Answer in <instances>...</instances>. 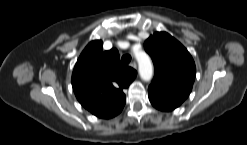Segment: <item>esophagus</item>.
Listing matches in <instances>:
<instances>
[{
	"label": "esophagus",
	"mask_w": 247,
	"mask_h": 145,
	"mask_svg": "<svg viewBox=\"0 0 247 145\" xmlns=\"http://www.w3.org/2000/svg\"><path fill=\"white\" fill-rule=\"evenodd\" d=\"M130 66L133 67L134 69H137L136 61L131 62Z\"/></svg>",
	"instance_id": "1"
}]
</instances>
